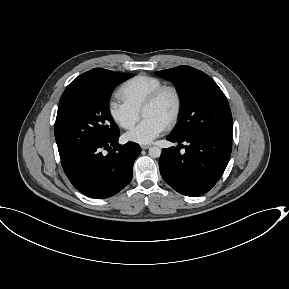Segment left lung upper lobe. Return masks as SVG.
Instances as JSON below:
<instances>
[{"instance_id": "obj_1", "label": "left lung upper lobe", "mask_w": 289, "mask_h": 289, "mask_svg": "<svg viewBox=\"0 0 289 289\" xmlns=\"http://www.w3.org/2000/svg\"><path fill=\"white\" fill-rule=\"evenodd\" d=\"M172 81L182 102V114L177 137L194 134L232 136V115L226 96L215 81L204 72L190 66H179L156 72Z\"/></svg>"}]
</instances>
